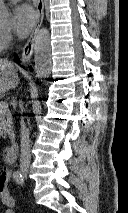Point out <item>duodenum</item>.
<instances>
[{
	"instance_id": "obj_1",
	"label": "duodenum",
	"mask_w": 128,
	"mask_h": 213,
	"mask_svg": "<svg viewBox=\"0 0 128 213\" xmlns=\"http://www.w3.org/2000/svg\"><path fill=\"white\" fill-rule=\"evenodd\" d=\"M19 144L16 138L12 140L10 146L3 150V158L6 163H12L18 154Z\"/></svg>"
}]
</instances>
